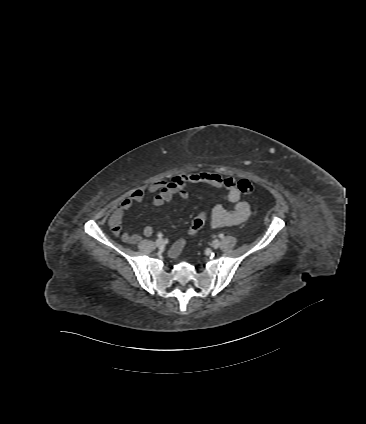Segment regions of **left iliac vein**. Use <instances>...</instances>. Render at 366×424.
Instances as JSON below:
<instances>
[{"label": "left iliac vein", "mask_w": 366, "mask_h": 424, "mask_svg": "<svg viewBox=\"0 0 366 424\" xmlns=\"http://www.w3.org/2000/svg\"><path fill=\"white\" fill-rule=\"evenodd\" d=\"M212 246H213V248L217 249V248L220 246V240L215 239V240L212 242Z\"/></svg>", "instance_id": "1"}]
</instances>
